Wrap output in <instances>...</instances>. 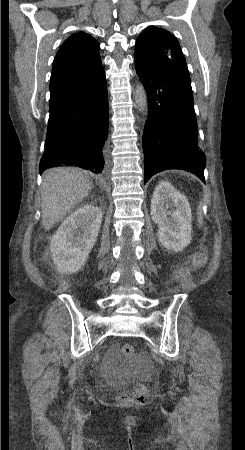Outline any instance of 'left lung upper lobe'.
<instances>
[{
	"instance_id": "left-lung-upper-lobe-1",
	"label": "left lung upper lobe",
	"mask_w": 245,
	"mask_h": 450,
	"mask_svg": "<svg viewBox=\"0 0 245 450\" xmlns=\"http://www.w3.org/2000/svg\"><path fill=\"white\" fill-rule=\"evenodd\" d=\"M135 65L167 75L193 98L189 71L180 44L168 31L149 26L136 40Z\"/></svg>"
}]
</instances>
